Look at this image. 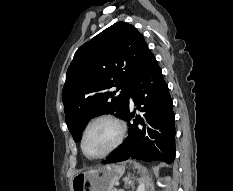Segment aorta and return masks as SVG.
I'll return each instance as SVG.
<instances>
[{
  "label": "aorta",
  "instance_id": "1",
  "mask_svg": "<svg viewBox=\"0 0 233 191\" xmlns=\"http://www.w3.org/2000/svg\"><path fill=\"white\" fill-rule=\"evenodd\" d=\"M145 188H146L145 180L141 178L136 191H145Z\"/></svg>",
  "mask_w": 233,
  "mask_h": 191
}]
</instances>
